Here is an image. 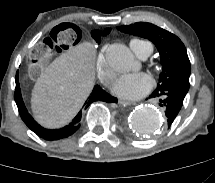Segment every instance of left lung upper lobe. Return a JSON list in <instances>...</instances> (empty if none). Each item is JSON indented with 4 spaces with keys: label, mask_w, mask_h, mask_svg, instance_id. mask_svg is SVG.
I'll list each match as a JSON object with an SVG mask.
<instances>
[{
    "label": "left lung upper lobe",
    "mask_w": 215,
    "mask_h": 183,
    "mask_svg": "<svg viewBox=\"0 0 215 183\" xmlns=\"http://www.w3.org/2000/svg\"><path fill=\"white\" fill-rule=\"evenodd\" d=\"M117 29L121 32L147 38L155 44L160 53L163 67L157 88L177 85L187 91L189 90L190 61L184 44L177 36L145 22L123 25Z\"/></svg>",
    "instance_id": "5c2ea615"
}]
</instances>
